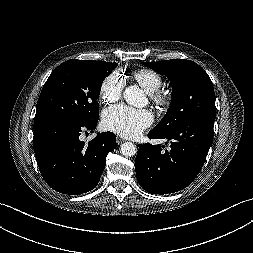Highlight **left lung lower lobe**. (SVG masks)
<instances>
[{"instance_id": "1", "label": "left lung lower lobe", "mask_w": 253, "mask_h": 253, "mask_svg": "<svg viewBox=\"0 0 253 253\" xmlns=\"http://www.w3.org/2000/svg\"><path fill=\"white\" fill-rule=\"evenodd\" d=\"M214 121L199 119L184 123L168 134L155 130L150 139H165L164 146L140 145L135 170L140 186L152 194H167L187 187L199 174L213 140ZM167 144V143H165Z\"/></svg>"}]
</instances>
